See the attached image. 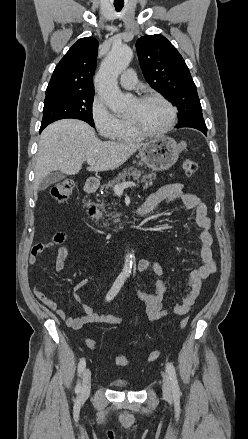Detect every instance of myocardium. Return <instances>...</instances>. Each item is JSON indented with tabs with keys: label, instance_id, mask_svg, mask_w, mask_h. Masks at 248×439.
I'll use <instances>...</instances> for the list:
<instances>
[{
	"label": "myocardium",
	"instance_id": "f54148a6",
	"mask_svg": "<svg viewBox=\"0 0 248 439\" xmlns=\"http://www.w3.org/2000/svg\"><path fill=\"white\" fill-rule=\"evenodd\" d=\"M150 99H158V100L162 101L163 103H165L167 105V107L170 110V121H169V124L164 129H161L158 131H150V130H147L144 127H142V125L139 123V121L135 118H127V120L130 123L132 129L137 134L141 135L142 137L161 136V135L167 134L176 125L177 109L169 99H167L165 96H163L159 93H155V92L140 95L137 98V101L140 103H143V102L148 101Z\"/></svg>",
	"mask_w": 248,
	"mask_h": 439
}]
</instances>
